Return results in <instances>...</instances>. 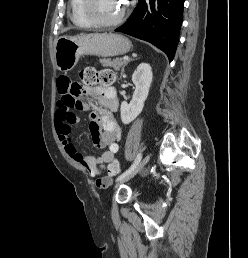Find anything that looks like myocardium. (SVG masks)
<instances>
[{
	"instance_id": "myocardium-1",
	"label": "myocardium",
	"mask_w": 248,
	"mask_h": 258,
	"mask_svg": "<svg viewBox=\"0 0 248 258\" xmlns=\"http://www.w3.org/2000/svg\"><path fill=\"white\" fill-rule=\"evenodd\" d=\"M93 2L94 0H82L83 14L86 17V19L90 22L91 25L97 26V27H112L120 24L124 20L127 13L126 5H124L121 14L117 18L109 21H104V20L97 19L95 15L92 13L91 6Z\"/></svg>"
}]
</instances>
